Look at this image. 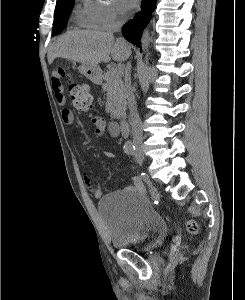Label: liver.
Listing matches in <instances>:
<instances>
[{
  "instance_id": "liver-1",
  "label": "liver",
  "mask_w": 245,
  "mask_h": 300,
  "mask_svg": "<svg viewBox=\"0 0 245 300\" xmlns=\"http://www.w3.org/2000/svg\"><path fill=\"white\" fill-rule=\"evenodd\" d=\"M131 54V47L123 39H114L111 32L90 30L68 31L60 36L48 51V63L57 57L70 59L81 64L97 66L108 62L125 61Z\"/></svg>"
}]
</instances>
